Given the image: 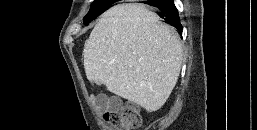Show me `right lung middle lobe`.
I'll use <instances>...</instances> for the list:
<instances>
[{"instance_id":"obj_1","label":"right lung middle lobe","mask_w":257,"mask_h":130,"mask_svg":"<svg viewBox=\"0 0 257 130\" xmlns=\"http://www.w3.org/2000/svg\"><path fill=\"white\" fill-rule=\"evenodd\" d=\"M114 0H95L83 21L87 25L91 20L101 14L105 9L111 6Z\"/></svg>"}]
</instances>
